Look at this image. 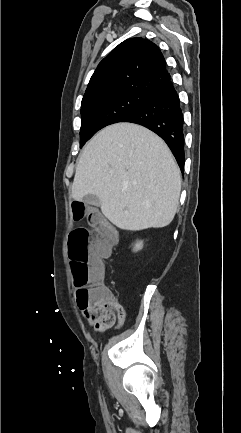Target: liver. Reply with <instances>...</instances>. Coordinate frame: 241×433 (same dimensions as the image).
I'll use <instances>...</instances> for the list:
<instances>
[{
    "instance_id": "obj_1",
    "label": "liver",
    "mask_w": 241,
    "mask_h": 433,
    "mask_svg": "<svg viewBox=\"0 0 241 433\" xmlns=\"http://www.w3.org/2000/svg\"><path fill=\"white\" fill-rule=\"evenodd\" d=\"M181 174L165 142L133 123L99 131L80 155L72 198L93 194L104 216L123 230L162 228L177 211Z\"/></svg>"
}]
</instances>
